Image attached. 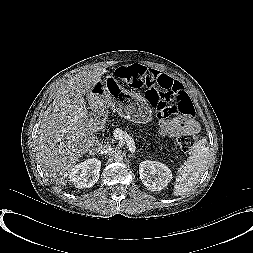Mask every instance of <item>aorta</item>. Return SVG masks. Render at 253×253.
Listing matches in <instances>:
<instances>
[{"label":"aorta","instance_id":"1","mask_svg":"<svg viewBox=\"0 0 253 253\" xmlns=\"http://www.w3.org/2000/svg\"><path fill=\"white\" fill-rule=\"evenodd\" d=\"M114 160L116 162H121L123 160V155L122 154H115Z\"/></svg>","mask_w":253,"mask_h":253}]
</instances>
